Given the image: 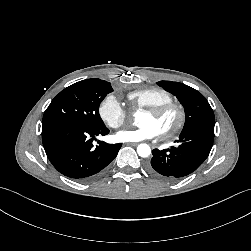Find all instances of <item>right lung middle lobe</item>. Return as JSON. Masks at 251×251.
Segmentation results:
<instances>
[{"label":"right lung middle lobe","instance_id":"dd1d6c3e","mask_svg":"<svg viewBox=\"0 0 251 251\" xmlns=\"http://www.w3.org/2000/svg\"><path fill=\"white\" fill-rule=\"evenodd\" d=\"M112 91L109 82L96 78L70 85L52 100L44 113L42 127L55 123L92 128L104 126L99 106Z\"/></svg>","mask_w":251,"mask_h":251}]
</instances>
